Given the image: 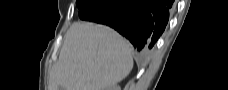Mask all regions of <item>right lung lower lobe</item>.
Returning <instances> with one entry per match:
<instances>
[{
    "instance_id": "obj_1",
    "label": "right lung lower lobe",
    "mask_w": 228,
    "mask_h": 90,
    "mask_svg": "<svg viewBox=\"0 0 228 90\" xmlns=\"http://www.w3.org/2000/svg\"><path fill=\"white\" fill-rule=\"evenodd\" d=\"M172 4L173 0H102L80 18L114 28L145 58L166 27Z\"/></svg>"
}]
</instances>
